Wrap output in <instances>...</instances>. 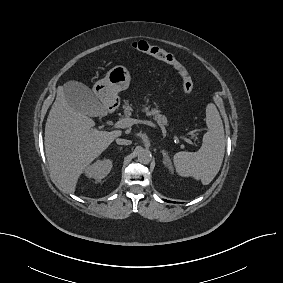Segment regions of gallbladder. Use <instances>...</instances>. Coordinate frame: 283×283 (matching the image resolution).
<instances>
[{"instance_id":"obj_1","label":"gallbladder","mask_w":283,"mask_h":283,"mask_svg":"<svg viewBox=\"0 0 283 283\" xmlns=\"http://www.w3.org/2000/svg\"><path fill=\"white\" fill-rule=\"evenodd\" d=\"M63 91L67 103L77 112L89 116H97L104 112V107L86 85L69 81L64 84Z\"/></svg>"}]
</instances>
